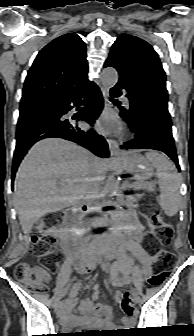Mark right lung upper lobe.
<instances>
[{"label": "right lung upper lobe", "instance_id": "cb5924a9", "mask_svg": "<svg viewBox=\"0 0 194 336\" xmlns=\"http://www.w3.org/2000/svg\"><path fill=\"white\" fill-rule=\"evenodd\" d=\"M85 43L76 33L64 34L37 55L26 77L20 109L51 103L87 79Z\"/></svg>", "mask_w": 194, "mask_h": 336}]
</instances>
